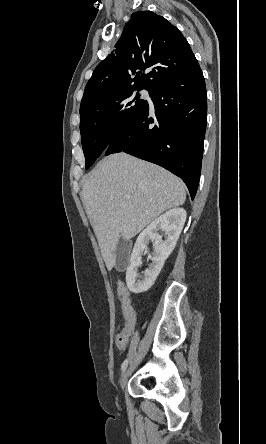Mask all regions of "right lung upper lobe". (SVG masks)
<instances>
[{"mask_svg": "<svg viewBox=\"0 0 266 444\" xmlns=\"http://www.w3.org/2000/svg\"><path fill=\"white\" fill-rule=\"evenodd\" d=\"M197 65L190 45L177 27L151 11L136 12L125 25L113 52L93 71L80 108L120 90L151 91L190 73ZM147 68L151 71L145 75Z\"/></svg>", "mask_w": 266, "mask_h": 444, "instance_id": "1", "label": "right lung upper lobe"}]
</instances>
